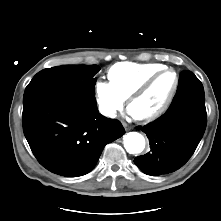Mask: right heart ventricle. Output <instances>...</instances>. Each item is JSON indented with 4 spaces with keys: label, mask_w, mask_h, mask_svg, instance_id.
Wrapping results in <instances>:
<instances>
[{
    "label": "right heart ventricle",
    "mask_w": 221,
    "mask_h": 221,
    "mask_svg": "<svg viewBox=\"0 0 221 221\" xmlns=\"http://www.w3.org/2000/svg\"><path fill=\"white\" fill-rule=\"evenodd\" d=\"M165 67V65L159 63L138 64L122 62L112 66L108 70L107 76L111 85L125 100L152 74Z\"/></svg>",
    "instance_id": "right-heart-ventricle-1"
}]
</instances>
